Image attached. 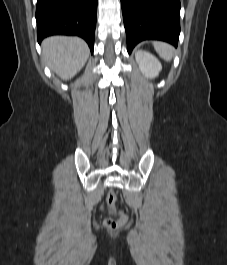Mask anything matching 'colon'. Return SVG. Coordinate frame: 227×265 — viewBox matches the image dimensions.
I'll list each match as a JSON object with an SVG mask.
<instances>
[{
  "instance_id": "colon-1",
  "label": "colon",
  "mask_w": 227,
  "mask_h": 265,
  "mask_svg": "<svg viewBox=\"0 0 227 265\" xmlns=\"http://www.w3.org/2000/svg\"><path fill=\"white\" fill-rule=\"evenodd\" d=\"M116 200V193L113 190H110L107 195L106 203L108 209L115 215V217L104 220V226L107 230H116L122 227L127 221L126 214L117 207Z\"/></svg>"
}]
</instances>
